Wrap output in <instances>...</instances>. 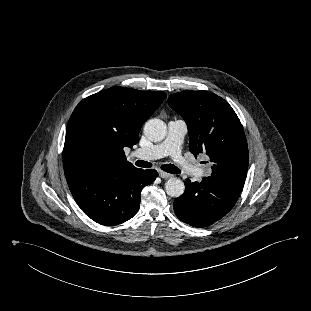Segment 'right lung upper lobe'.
Here are the masks:
<instances>
[{"label": "right lung upper lobe", "mask_w": 311, "mask_h": 311, "mask_svg": "<svg viewBox=\"0 0 311 311\" xmlns=\"http://www.w3.org/2000/svg\"><path fill=\"white\" fill-rule=\"evenodd\" d=\"M165 98L162 91L113 87L83 99L66 128L65 176L97 166L135 169L124 148L138 142L142 125Z\"/></svg>", "instance_id": "cb5924a9"}]
</instances>
